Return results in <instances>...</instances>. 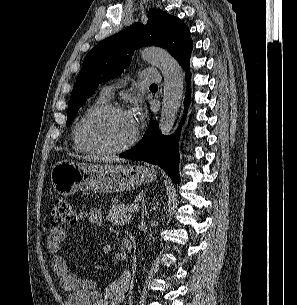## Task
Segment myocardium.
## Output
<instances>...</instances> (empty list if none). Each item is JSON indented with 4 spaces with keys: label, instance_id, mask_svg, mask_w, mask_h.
I'll use <instances>...</instances> for the list:
<instances>
[{
    "label": "myocardium",
    "instance_id": "obj_1",
    "mask_svg": "<svg viewBox=\"0 0 297 305\" xmlns=\"http://www.w3.org/2000/svg\"><path fill=\"white\" fill-rule=\"evenodd\" d=\"M110 113H127L124 108H122L119 105L115 104H106L99 106L90 112H88L83 118L79 121L78 126H77V134L78 138L81 142V144L90 150L91 152H95L98 154H103V155H116V154H121L123 152H126L127 150L131 149L137 142L138 140V129L135 128V131L131 138L123 145L115 148H106L103 146H99L93 142H91L88 137L86 136L85 133V126L86 124L93 118L100 116V115H105V114H110Z\"/></svg>",
    "mask_w": 297,
    "mask_h": 305
}]
</instances>
